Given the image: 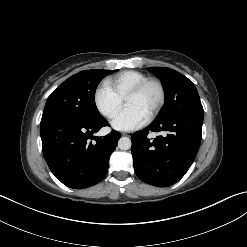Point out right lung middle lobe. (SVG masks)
I'll return each instance as SVG.
<instances>
[{"label": "right lung middle lobe", "mask_w": 247, "mask_h": 247, "mask_svg": "<svg viewBox=\"0 0 247 247\" xmlns=\"http://www.w3.org/2000/svg\"><path fill=\"white\" fill-rule=\"evenodd\" d=\"M115 71L118 70H86L65 80L48 97L41 121L65 117L93 122L101 118L95 104V91L99 82Z\"/></svg>", "instance_id": "1"}]
</instances>
